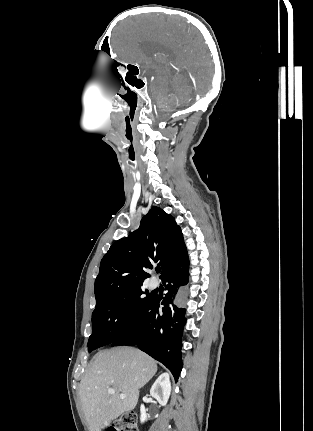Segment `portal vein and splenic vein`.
I'll return each instance as SVG.
<instances>
[{"instance_id":"1","label":"portal vein and splenic vein","mask_w":313,"mask_h":431,"mask_svg":"<svg viewBox=\"0 0 313 431\" xmlns=\"http://www.w3.org/2000/svg\"><path fill=\"white\" fill-rule=\"evenodd\" d=\"M107 392H108L109 394H114V393H115V390H114L113 388H108ZM120 397H121L122 399H124V398H125V395H124V394H120Z\"/></svg>"}]
</instances>
